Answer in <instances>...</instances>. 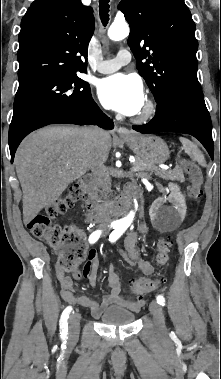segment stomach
Returning a JSON list of instances; mask_svg holds the SVG:
<instances>
[{
  "mask_svg": "<svg viewBox=\"0 0 221 379\" xmlns=\"http://www.w3.org/2000/svg\"><path fill=\"white\" fill-rule=\"evenodd\" d=\"M135 153L137 159L155 166L168 160L170 151L167 144L158 136L132 133L123 138Z\"/></svg>",
  "mask_w": 221,
  "mask_h": 379,
  "instance_id": "1",
  "label": "stomach"
}]
</instances>
